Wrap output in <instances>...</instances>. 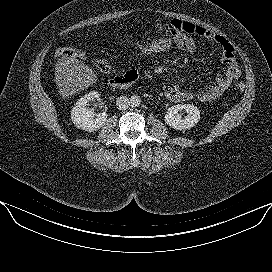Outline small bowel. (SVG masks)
I'll use <instances>...</instances> for the list:
<instances>
[{
  "label": "small bowel",
  "instance_id": "obj_1",
  "mask_svg": "<svg viewBox=\"0 0 272 272\" xmlns=\"http://www.w3.org/2000/svg\"><path fill=\"white\" fill-rule=\"evenodd\" d=\"M167 36L176 41L179 50L192 53L195 50L193 37L199 36L209 42L215 43L221 49V61L225 67L218 73L215 80L208 86L197 91L184 90L176 83L167 84L164 88L166 97L173 102H185L198 100L200 102H211L221 97L231 85L232 81L239 78L241 69L233 46L224 36L192 22L174 19L160 26ZM128 74L136 75L135 71Z\"/></svg>",
  "mask_w": 272,
  "mask_h": 272
}]
</instances>
